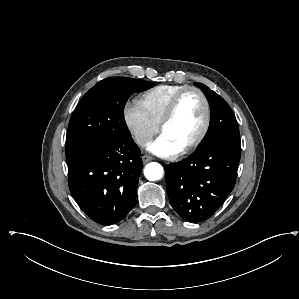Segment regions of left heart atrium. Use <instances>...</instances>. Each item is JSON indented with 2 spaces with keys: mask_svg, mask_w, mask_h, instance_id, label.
<instances>
[{
  "mask_svg": "<svg viewBox=\"0 0 299 299\" xmlns=\"http://www.w3.org/2000/svg\"><path fill=\"white\" fill-rule=\"evenodd\" d=\"M148 150L162 157H173L181 151L176 145L171 143L164 135H160L156 140L148 145Z\"/></svg>",
  "mask_w": 299,
  "mask_h": 299,
  "instance_id": "obj_1",
  "label": "left heart atrium"
}]
</instances>
